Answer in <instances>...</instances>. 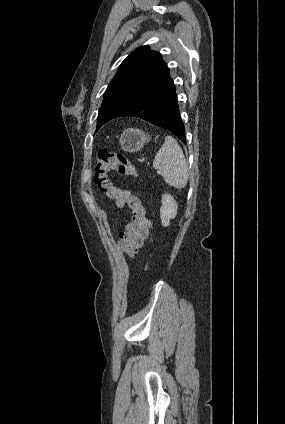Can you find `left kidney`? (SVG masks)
Masks as SVG:
<instances>
[{"label": "left kidney", "mask_w": 285, "mask_h": 424, "mask_svg": "<svg viewBox=\"0 0 285 424\" xmlns=\"http://www.w3.org/2000/svg\"><path fill=\"white\" fill-rule=\"evenodd\" d=\"M162 206L160 208L161 223L164 227L170 225V220L177 215L178 204L170 194L162 195Z\"/></svg>", "instance_id": "obj_1"}]
</instances>
